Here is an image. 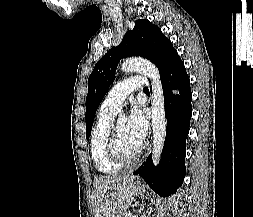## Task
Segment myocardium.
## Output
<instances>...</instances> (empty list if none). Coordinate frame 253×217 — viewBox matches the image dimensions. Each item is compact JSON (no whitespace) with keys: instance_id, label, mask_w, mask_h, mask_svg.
Returning <instances> with one entry per match:
<instances>
[{"instance_id":"f54148a6","label":"myocardium","mask_w":253,"mask_h":217,"mask_svg":"<svg viewBox=\"0 0 253 217\" xmlns=\"http://www.w3.org/2000/svg\"><path fill=\"white\" fill-rule=\"evenodd\" d=\"M106 148H107L109 157L120 165H131L135 163L140 158L144 150V146L141 145L139 150L132 156L125 155L120 149L119 139H118V134L116 131L115 124H112L110 128V132H109L107 143H106Z\"/></svg>"}]
</instances>
